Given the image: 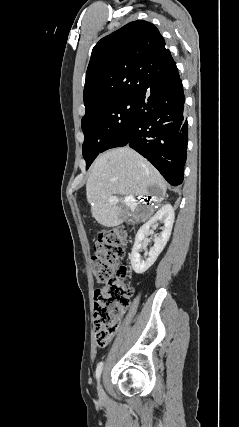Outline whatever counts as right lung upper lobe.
I'll list each match as a JSON object with an SVG mask.
<instances>
[{"mask_svg":"<svg viewBox=\"0 0 239 427\" xmlns=\"http://www.w3.org/2000/svg\"><path fill=\"white\" fill-rule=\"evenodd\" d=\"M177 75L176 63L156 26L144 20L130 22L93 48L83 94L85 108L106 100L136 98Z\"/></svg>","mask_w":239,"mask_h":427,"instance_id":"cb5924a9","label":"right lung upper lobe"}]
</instances>
